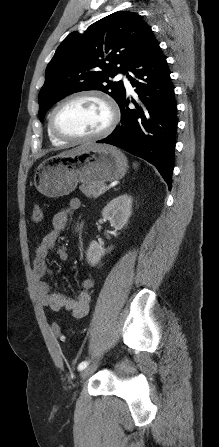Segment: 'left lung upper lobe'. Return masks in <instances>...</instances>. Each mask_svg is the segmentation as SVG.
<instances>
[{
    "mask_svg": "<svg viewBox=\"0 0 219 447\" xmlns=\"http://www.w3.org/2000/svg\"><path fill=\"white\" fill-rule=\"evenodd\" d=\"M152 34L140 15L126 11L102 18L85 33L69 34L46 68L38 96L40 120L53 104L83 90H101L119 104L125 95L123 82L109 78L127 71Z\"/></svg>",
    "mask_w": 219,
    "mask_h": 447,
    "instance_id": "left-lung-upper-lobe-1",
    "label": "left lung upper lobe"
}]
</instances>
